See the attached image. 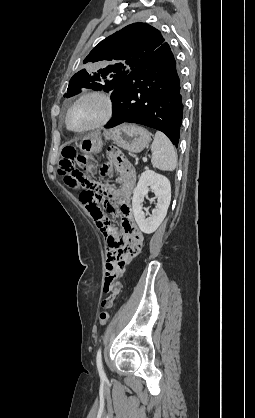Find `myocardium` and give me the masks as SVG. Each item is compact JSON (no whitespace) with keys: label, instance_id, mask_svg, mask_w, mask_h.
<instances>
[{"label":"myocardium","instance_id":"myocardium-1","mask_svg":"<svg viewBox=\"0 0 255 418\" xmlns=\"http://www.w3.org/2000/svg\"><path fill=\"white\" fill-rule=\"evenodd\" d=\"M89 97H96L99 98L104 105V111L103 114L101 116V118L95 122L94 124L83 128V129H74L70 126L69 124V114L72 110V108L79 103L80 101H82L83 99L89 98ZM113 112H114V103L112 98L110 97L109 94H107L104 91H100V90H90L87 92L82 93L81 95H79L68 107L66 114H65V124L68 130L75 132V133H85V132H89V131H93L96 130L98 128H101L103 126H105L112 118L113 116Z\"/></svg>","mask_w":255,"mask_h":418}]
</instances>
